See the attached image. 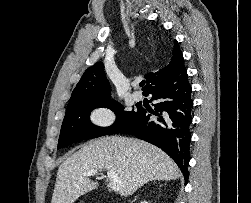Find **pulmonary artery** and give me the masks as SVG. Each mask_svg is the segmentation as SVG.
<instances>
[{
  "mask_svg": "<svg viewBox=\"0 0 251 203\" xmlns=\"http://www.w3.org/2000/svg\"><path fill=\"white\" fill-rule=\"evenodd\" d=\"M133 99H134L135 101H141V100L143 99L142 93L139 92V91H135V92L133 93Z\"/></svg>",
  "mask_w": 251,
  "mask_h": 203,
  "instance_id": "obj_1",
  "label": "pulmonary artery"
}]
</instances>
